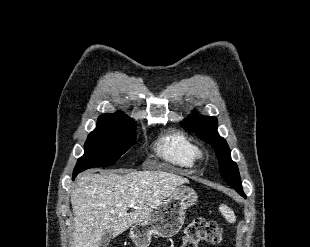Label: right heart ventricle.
<instances>
[{
    "mask_svg": "<svg viewBox=\"0 0 310 247\" xmlns=\"http://www.w3.org/2000/svg\"><path fill=\"white\" fill-rule=\"evenodd\" d=\"M160 156L180 167L191 168L202 158V150L187 135L179 131H172L157 142Z\"/></svg>",
    "mask_w": 310,
    "mask_h": 247,
    "instance_id": "right-heart-ventricle-1",
    "label": "right heart ventricle"
}]
</instances>
